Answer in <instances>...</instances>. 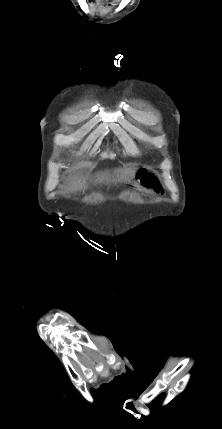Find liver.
Here are the masks:
<instances>
[{"label":"liver","mask_w":222,"mask_h":429,"mask_svg":"<svg viewBox=\"0 0 222 429\" xmlns=\"http://www.w3.org/2000/svg\"><path fill=\"white\" fill-rule=\"evenodd\" d=\"M135 170L131 168H119L114 170V175L117 177L115 182H127L133 178ZM109 180V172H102L97 174V182H104ZM81 179L74 178L69 186V190L78 189L81 186Z\"/></svg>","instance_id":"obj_1"}]
</instances>
